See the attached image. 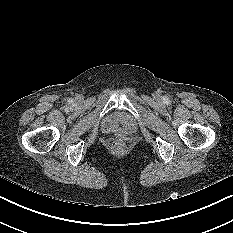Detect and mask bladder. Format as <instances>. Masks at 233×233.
Wrapping results in <instances>:
<instances>
[{
	"instance_id": "obj_1",
	"label": "bladder",
	"mask_w": 233,
	"mask_h": 233,
	"mask_svg": "<svg viewBox=\"0 0 233 233\" xmlns=\"http://www.w3.org/2000/svg\"><path fill=\"white\" fill-rule=\"evenodd\" d=\"M102 129L106 133L129 135L135 132L134 120L124 112H113L102 122Z\"/></svg>"
}]
</instances>
